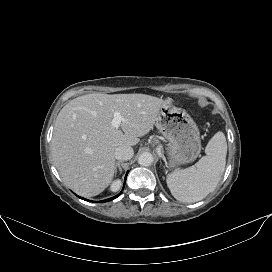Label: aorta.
<instances>
[{
	"label": "aorta",
	"mask_w": 272,
	"mask_h": 272,
	"mask_svg": "<svg viewBox=\"0 0 272 272\" xmlns=\"http://www.w3.org/2000/svg\"><path fill=\"white\" fill-rule=\"evenodd\" d=\"M153 161H154V158L152 154L149 152L142 153L141 155H139V158H138V163L144 167L150 166L153 163Z\"/></svg>",
	"instance_id": "762f6f07"
}]
</instances>
